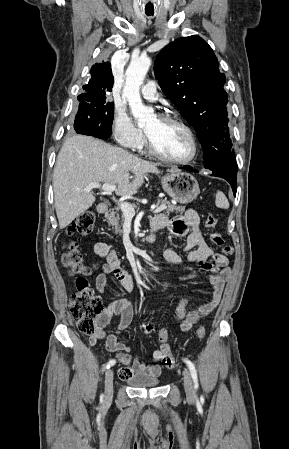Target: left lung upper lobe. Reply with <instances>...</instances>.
<instances>
[{"instance_id": "5c2ea615", "label": "left lung upper lobe", "mask_w": 289, "mask_h": 449, "mask_svg": "<svg viewBox=\"0 0 289 449\" xmlns=\"http://www.w3.org/2000/svg\"><path fill=\"white\" fill-rule=\"evenodd\" d=\"M154 74L162 91L196 130L206 168L213 175L237 176L229 139L225 75L211 47L199 36L171 42L156 57Z\"/></svg>"}]
</instances>
